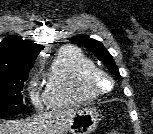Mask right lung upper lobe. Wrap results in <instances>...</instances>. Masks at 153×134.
I'll return each instance as SVG.
<instances>
[{"label":"right lung upper lobe","mask_w":153,"mask_h":134,"mask_svg":"<svg viewBox=\"0 0 153 134\" xmlns=\"http://www.w3.org/2000/svg\"><path fill=\"white\" fill-rule=\"evenodd\" d=\"M44 47L11 35L0 43V74L29 72Z\"/></svg>","instance_id":"obj_1"}]
</instances>
